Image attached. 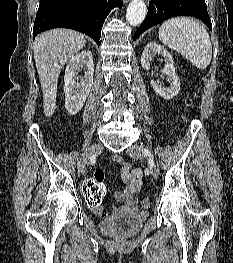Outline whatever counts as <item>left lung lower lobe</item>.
Masks as SVG:
<instances>
[{
  "label": "left lung lower lobe",
  "instance_id": "obj_1",
  "mask_svg": "<svg viewBox=\"0 0 233 263\" xmlns=\"http://www.w3.org/2000/svg\"><path fill=\"white\" fill-rule=\"evenodd\" d=\"M175 16L197 17L212 30L205 0H152L145 20L134 34V40L148 28Z\"/></svg>",
  "mask_w": 233,
  "mask_h": 263
}]
</instances>
